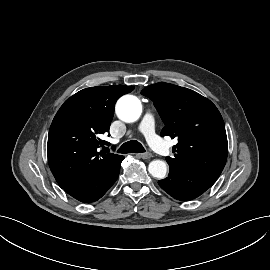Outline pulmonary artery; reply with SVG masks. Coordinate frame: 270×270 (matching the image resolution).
<instances>
[{"label":"pulmonary artery","mask_w":270,"mask_h":270,"mask_svg":"<svg viewBox=\"0 0 270 270\" xmlns=\"http://www.w3.org/2000/svg\"><path fill=\"white\" fill-rule=\"evenodd\" d=\"M140 131L145 136L152 148L159 154L166 156L170 153L169 147L156 133L155 119L151 113H146L140 124Z\"/></svg>","instance_id":"obj_1"}]
</instances>
